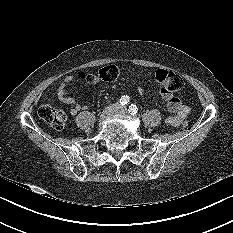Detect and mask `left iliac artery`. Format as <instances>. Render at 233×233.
<instances>
[{"instance_id": "1", "label": "left iliac artery", "mask_w": 233, "mask_h": 233, "mask_svg": "<svg viewBox=\"0 0 233 233\" xmlns=\"http://www.w3.org/2000/svg\"><path fill=\"white\" fill-rule=\"evenodd\" d=\"M128 111H129V113H130L131 115L134 116V115L137 114L138 108H137V106H136L135 104H131V105L129 106Z\"/></svg>"}]
</instances>
